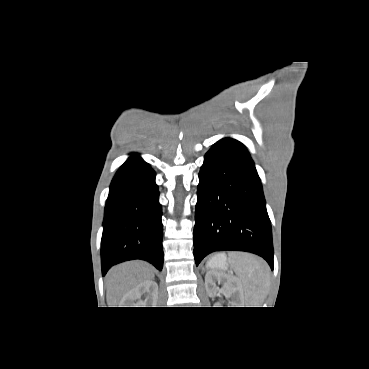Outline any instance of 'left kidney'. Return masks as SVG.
<instances>
[{"instance_id": "1", "label": "left kidney", "mask_w": 369, "mask_h": 369, "mask_svg": "<svg viewBox=\"0 0 369 369\" xmlns=\"http://www.w3.org/2000/svg\"><path fill=\"white\" fill-rule=\"evenodd\" d=\"M223 283L221 292L225 297L232 300V307H244V296L237 280L231 276L221 274L215 271H208L205 276V288L209 296H214L217 288L214 285V280Z\"/></svg>"}]
</instances>
